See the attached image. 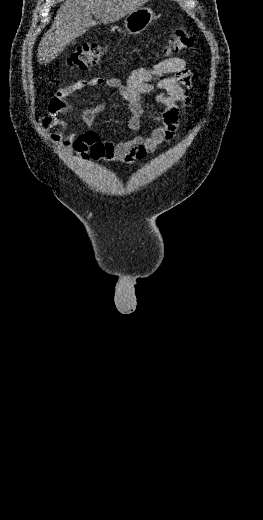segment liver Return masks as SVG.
I'll return each mask as SVG.
<instances>
[{
  "label": "liver",
  "instance_id": "1",
  "mask_svg": "<svg viewBox=\"0 0 263 520\" xmlns=\"http://www.w3.org/2000/svg\"><path fill=\"white\" fill-rule=\"evenodd\" d=\"M149 0H66L38 48V62L48 64L70 43L100 22L113 23Z\"/></svg>",
  "mask_w": 263,
  "mask_h": 520
}]
</instances>
